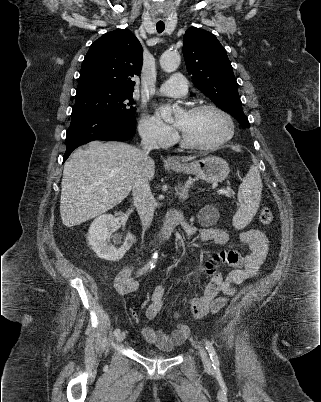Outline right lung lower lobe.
Returning <instances> with one entry per match:
<instances>
[{
    "label": "right lung lower lobe",
    "instance_id": "1",
    "mask_svg": "<svg viewBox=\"0 0 321 402\" xmlns=\"http://www.w3.org/2000/svg\"><path fill=\"white\" fill-rule=\"evenodd\" d=\"M136 132V118L78 115L71 117L66 134V152L63 162L77 147L93 141H125Z\"/></svg>",
    "mask_w": 321,
    "mask_h": 402
}]
</instances>
